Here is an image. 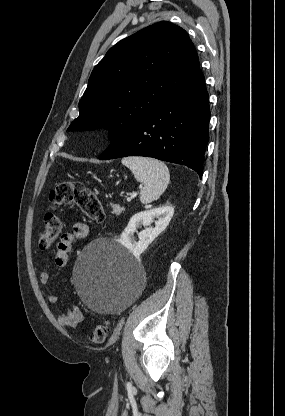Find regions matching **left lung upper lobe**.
<instances>
[{"mask_svg":"<svg viewBox=\"0 0 285 416\" xmlns=\"http://www.w3.org/2000/svg\"><path fill=\"white\" fill-rule=\"evenodd\" d=\"M198 70V55L184 29L167 21L148 26L110 48L95 66L68 131L105 128L113 142Z\"/></svg>","mask_w":285,"mask_h":416,"instance_id":"5c2ea615","label":"left lung upper lobe"}]
</instances>
